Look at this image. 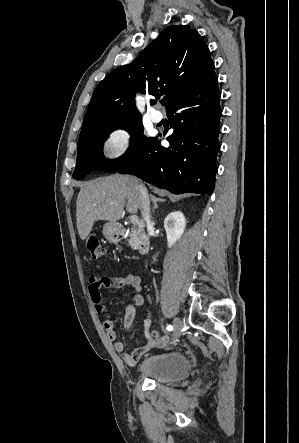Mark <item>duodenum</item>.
Segmentation results:
<instances>
[{"label":"duodenum","mask_w":299,"mask_h":443,"mask_svg":"<svg viewBox=\"0 0 299 443\" xmlns=\"http://www.w3.org/2000/svg\"><path fill=\"white\" fill-rule=\"evenodd\" d=\"M125 228L122 226H117V237H114L115 241H122L123 235L125 233ZM150 250V241L146 234H139V241L137 251L140 255H146Z\"/></svg>","instance_id":"1"}]
</instances>
